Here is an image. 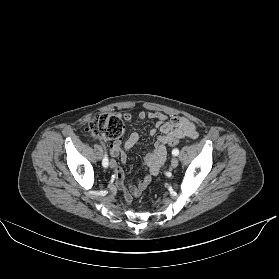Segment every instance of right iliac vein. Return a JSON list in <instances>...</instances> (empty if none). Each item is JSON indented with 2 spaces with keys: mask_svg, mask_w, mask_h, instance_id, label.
<instances>
[{
  "mask_svg": "<svg viewBox=\"0 0 279 279\" xmlns=\"http://www.w3.org/2000/svg\"><path fill=\"white\" fill-rule=\"evenodd\" d=\"M109 166H110L111 168H114V167L116 166V161L113 160V159H111V160H110V163H109Z\"/></svg>",
  "mask_w": 279,
  "mask_h": 279,
  "instance_id": "obj_1",
  "label": "right iliac vein"
}]
</instances>
